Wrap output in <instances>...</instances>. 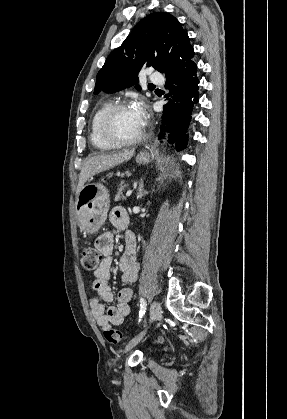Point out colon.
<instances>
[{
	"label": "colon",
	"mask_w": 287,
	"mask_h": 419,
	"mask_svg": "<svg viewBox=\"0 0 287 419\" xmlns=\"http://www.w3.org/2000/svg\"><path fill=\"white\" fill-rule=\"evenodd\" d=\"M102 261L101 253L93 247L85 248L81 255V264L85 271L94 272ZM104 337L107 342L115 344L122 342L126 336L119 330L107 329L104 331Z\"/></svg>",
	"instance_id": "5ec220e1"
}]
</instances>
